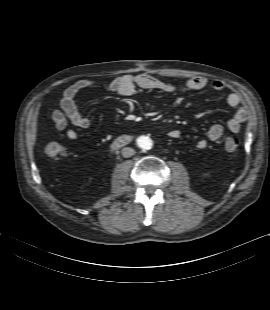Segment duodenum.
Listing matches in <instances>:
<instances>
[{
  "mask_svg": "<svg viewBox=\"0 0 270 310\" xmlns=\"http://www.w3.org/2000/svg\"><path fill=\"white\" fill-rule=\"evenodd\" d=\"M129 141H130V137L120 136L112 142V147L113 148H121V147L127 145L129 143Z\"/></svg>",
  "mask_w": 270,
  "mask_h": 310,
  "instance_id": "obj_1",
  "label": "duodenum"
}]
</instances>
